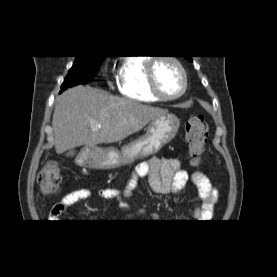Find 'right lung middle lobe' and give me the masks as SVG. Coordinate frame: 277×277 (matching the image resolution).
Wrapping results in <instances>:
<instances>
[{
	"label": "right lung middle lobe",
	"instance_id": "dd1d6c3e",
	"mask_svg": "<svg viewBox=\"0 0 277 277\" xmlns=\"http://www.w3.org/2000/svg\"><path fill=\"white\" fill-rule=\"evenodd\" d=\"M105 59V56L100 57H84L76 56L72 68L62 84L60 93L69 87L84 84L90 81L98 73V70Z\"/></svg>",
	"mask_w": 277,
	"mask_h": 277
}]
</instances>
